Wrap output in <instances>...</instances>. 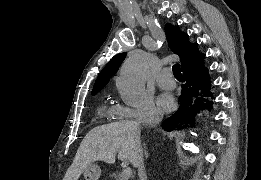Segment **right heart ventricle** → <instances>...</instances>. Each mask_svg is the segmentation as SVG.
<instances>
[{"label": "right heart ventricle", "mask_w": 261, "mask_h": 180, "mask_svg": "<svg viewBox=\"0 0 261 180\" xmlns=\"http://www.w3.org/2000/svg\"><path fill=\"white\" fill-rule=\"evenodd\" d=\"M118 109L108 103H101L98 107V121H109L114 122L118 114Z\"/></svg>", "instance_id": "right-heart-ventricle-1"}]
</instances>
